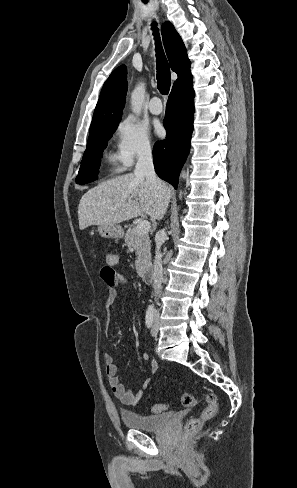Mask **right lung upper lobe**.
<instances>
[{"instance_id": "1", "label": "right lung upper lobe", "mask_w": 297, "mask_h": 488, "mask_svg": "<svg viewBox=\"0 0 297 488\" xmlns=\"http://www.w3.org/2000/svg\"><path fill=\"white\" fill-rule=\"evenodd\" d=\"M163 43L171 69L177 73L179 83L192 78L190 60L184 43L170 22L162 26ZM127 92V68L121 65L114 70L104 83L96 105L90 132L100 126H118L124 108Z\"/></svg>"}]
</instances>
